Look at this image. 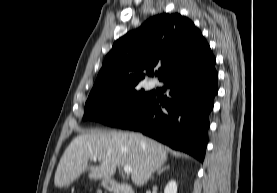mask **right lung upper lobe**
I'll use <instances>...</instances> for the list:
<instances>
[{"label": "right lung upper lobe", "instance_id": "cb5924a9", "mask_svg": "<svg viewBox=\"0 0 277 193\" xmlns=\"http://www.w3.org/2000/svg\"><path fill=\"white\" fill-rule=\"evenodd\" d=\"M210 49L187 17L163 13L119 38L107 54L90 94L137 86L160 66L159 80L195 61Z\"/></svg>", "mask_w": 277, "mask_h": 193}]
</instances>
